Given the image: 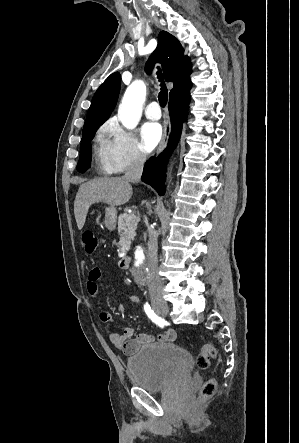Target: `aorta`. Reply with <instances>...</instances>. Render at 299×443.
Returning a JSON list of instances; mask_svg holds the SVG:
<instances>
[{"instance_id":"1","label":"aorta","mask_w":299,"mask_h":443,"mask_svg":"<svg viewBox=\"0 0 299 443\" xmlns=\"http://www.w3.org/2000/svg\"><path fill=\"white\" fill-rule=\"evenodd\" d=\"M146 97V86L142 81H134L126 90L120 105L118 116L124 127L134 129L141 117L142 105ZM139 255V262H142Z\"/></svg>"}]
</instances>
